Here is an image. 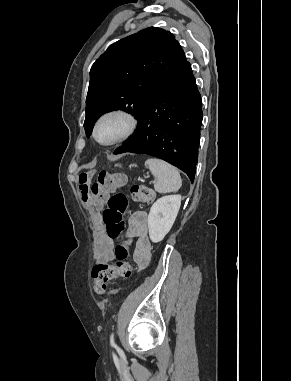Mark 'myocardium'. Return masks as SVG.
Segmentation results:
<instances>
[{
	"instance_id": "myocardium-1",
	"label": "myocardium",
	"mask_w": 291,
	"mask_h": 381,
	"mask_svg": "<svg viewBox=\"0 0 291 381\" xmlns=\"http://www.w3.org/2000/svg\"><path fill=\"white\" fill-rule=\"evenodd\" d=\"M112 116H118V117L123 118L126 121L127 126H126L125 131L120 136H118L116 139H114L110 142H107V143H103L98 139V135H97L98 127L104 119H106L108 117H112ZM137 126H138V119L135 116V114L132 113L131 111H129L127 109H123V108L111 109V110L106 111L103 114H101L97 118V120L95 121L94 127H93V137H94V140L99 145L105 146V147H110V146H114V145H117L119 143H122V142L128 140L135 133Z\"/></svg>"
}]
</instances>
